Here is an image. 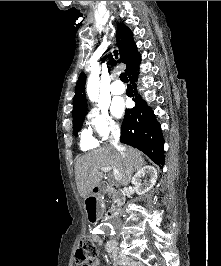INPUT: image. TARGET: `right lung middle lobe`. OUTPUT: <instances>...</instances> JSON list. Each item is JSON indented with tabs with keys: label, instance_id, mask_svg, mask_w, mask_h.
Masks as SVG:
<instances>
[{
	"label": "right lung middle lobe",
	"instance_id": "dd1d6c3e",
	"mask_svg": "<svg viewBox=\"0 0 221 266\" xmlns=\"http://www.w3.org/2000/svg\"><path fill=\"white\" fill-rule=\"evenodd\" d=\"M85 113L79 114L73 117V131L75 136H77L80 131L83 121H84Z\"/></svg>",
	"mask_w": 221,
	"mask_h": 266
}]
</instances>
